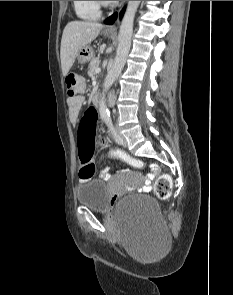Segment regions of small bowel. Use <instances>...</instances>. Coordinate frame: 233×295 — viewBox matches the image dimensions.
<instances>
[{
  "label": "small bowel",
  "mask_w": 233,
  "mask_h": 295,
  "mask_svg": "<svg viewBox=\"0 0 233 295\" xmlns=\"http://www.w3.org/2000/svg\"><path fill=\"white\" fill-rule=\"evenodd\" d=\"M83 103H84V98L83 96H79L76 97L74 99H68L67 104H68V110H69V118L71 120L72 123H76L81 109L83 107ZM105 141L102 140V144H104ZM151 169L152 172L150 173L149 177L153 178L156 174L157 171V167L155 165H151ZM128 170H122L121 172H127ZM101 177L104 180H110L111 179V174L109 173L108 167L104 168L102 173H101ZM151 190V186L150 185H145L143 187L140 188V191L142 192H149Z\"/></svg>",
  "instance_id": "small-bowel-1"
}]
</instances>
